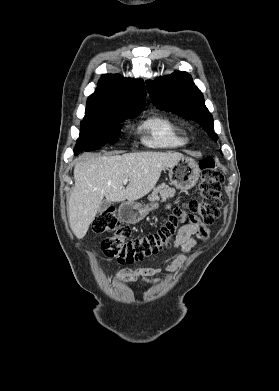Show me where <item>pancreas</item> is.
<instances>
[{"label":"pancreas","instance_id":"1","mask_svg":"<svg viewBox=\"0 0 279 391\" xmlns=\"http://www.w3.org/2000/svg\"><path fill=\"white\" fill-rule=\"evenodd\" d=\"M175 195V190L170 188L165 183L158 185L153 189L151 195L149 196V201L154 202L160 198L165 201L167 198H171Z\"/></svg>","mask_w":279,"mask_h":391}]
</instances>
